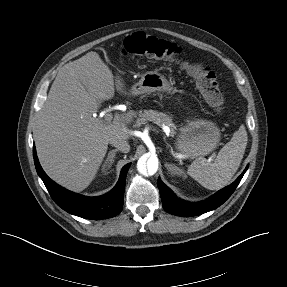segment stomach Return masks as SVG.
<instances>
[{"instance_id": "1", "label": "stomach", "mask_w": 287, "mask_h": 287, "mask_svg": "<svg viewBox=\"0 0 287 287\" xmlns=\"http://www.w3.org/2000/svg\"><path fill=\"white\" fill-rule=\"evenodd\" d=\"M173 90L166 77L157 71H148L129 90V95L138 96L151 92ZM221 138L219 128L209 120L192 119L180 129L176 139L177 150L188 158L205 156L212 152Z\"/></svg>"}]
</instances>
